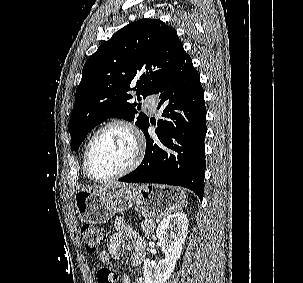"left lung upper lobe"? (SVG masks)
<instances>
[{
    "instance_id": "obj_1",
    "label": "left lung upper lobe",
    "mask_w": 303,
    "mask_h": 283,
    "mask_svg": "<svg viewBox=\"0 0 303 283\" xmlns=\"http://www.w3.org/2000/svg\"><path fill=\"white\" fill-rule=\"evenodd\" d=\"M183 51L176 30L159 19L130 23L101 44L84 64L76 89L69 121L72 151L108 118L135 120L142 130L149 118L137 116L140 107L129 102V91L151 95Z\"/></svg>"
}]
</instances>
